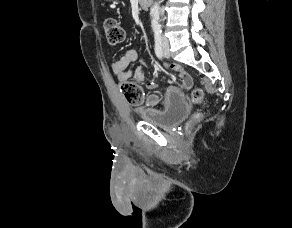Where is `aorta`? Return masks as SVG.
I'll use <instances>...</instances> for the list:
<instances>
[{
	"mask_svg": "<svg viewBox=\"0 0 292 228\" xmlns=\"http://www.w3.org/2000/svg\"><path fill=\"white\" fill-rule=\"evenodd\" d=\"M159 14H160L159 4L155 2L150 9L151 27L154 32L160 31Z\"/></svg>",
	"mask_w": 292,
	"mask_h": 228,
	"instance_id": "762f6f07",
	"label": "aorta"
}]
</instances>
